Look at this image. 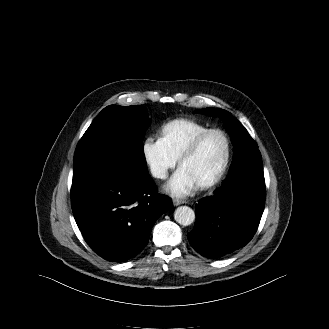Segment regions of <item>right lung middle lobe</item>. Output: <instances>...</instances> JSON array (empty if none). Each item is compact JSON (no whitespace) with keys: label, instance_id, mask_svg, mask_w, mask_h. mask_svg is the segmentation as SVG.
Wrapping results in <instances>:
<instances>
[{"label":"right lung middle lobe","instance_id":"1","mask_svg":"<svg viewBox=\"0 0 329 329\" xmlns=\"http://www.w3.org/2000/svg\"><path fill=\"white\" fill-rule=\"evenodd\" d=\"M150 124L140 105L104 108L80 139L73 166V182L106 172L131 181L146 176L142 139Z\"/></svg>","mask_w":329,"mask_h":329}]
</instances>
